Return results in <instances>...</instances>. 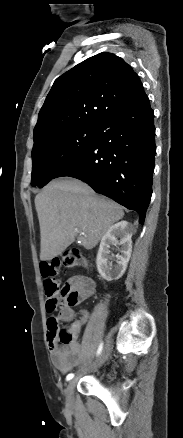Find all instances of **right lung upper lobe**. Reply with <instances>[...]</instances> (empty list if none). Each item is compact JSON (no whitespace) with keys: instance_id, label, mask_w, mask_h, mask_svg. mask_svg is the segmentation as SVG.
I'll list each match as a JSON object with an SVG mask.
<instances>
[{"instance_id":"1","label":"right lung upper lobe","mask_w":183,"mask_h":438,"mask_svg":"<svg viewBox=\"0 0 183 438\" xmlns=\"http://www.w3.org/2000/svg\"><path fill=\"white\" fill-rule=\"evenodd\" d=\"M144 97L138 75L122 58L99 53L55 80L39 112L34 140L58 130L98 126Z\"/></svg>"}]
</instances>
